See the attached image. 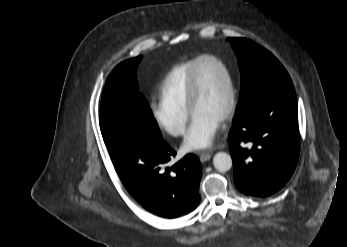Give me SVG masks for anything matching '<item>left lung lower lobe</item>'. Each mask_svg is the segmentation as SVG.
I'll return each mask as SVG.
<instances>
[{
	"instance_id": "0a47b994",
	"label": "left lung lower lobe",
	"mask_w": 347,
	"mask_h": 247,
	"mask_svg": "<svg viewBox=\"0 0 347 247\" xmlns=\"http://www.w3.org/2000/svg\"><path fill=\"white\" fill-rule=\"evenodd\" d=\"M229 140L237 188L258 197L279 191L292 176L300 151L294 88L271 90L235 116Z\"/></svg>"
}]
</instances>
